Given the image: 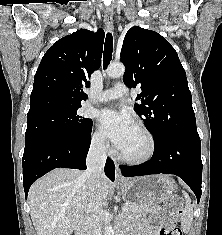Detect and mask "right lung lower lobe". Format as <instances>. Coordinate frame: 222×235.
Wrapping results in <instances>:
<instances>
[{
    "mask_svg": "<svg viewBox=\"0 0 222 235\" xmlns=\"http://www.w3.org/2000/svg\"><path fill=\"white\" fill-rule=\"evenodd\" d=\"M91 144V131L79 141L50 140L24 150L23 186L27 198L31 184L39 177L55 168L86 169V156ZM105 174L115 179L114 163L107 158Z\"/></svg>",
    "mask_w": 222,
    "mask_h": 235,
    "instance_id": "right-lung-lower-lobe-1",
    "label": "right lung lower lobe"
}]
</instances>
